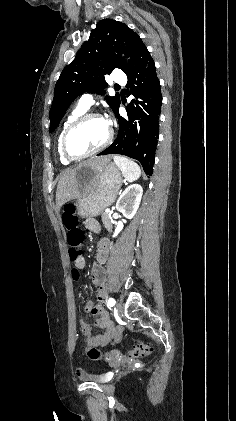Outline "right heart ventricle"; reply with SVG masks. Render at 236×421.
<instances>
[{
    "instance_id": "obj_1",
    "label": "right heart ventricle",
    "mask_w": 236,
    "mask_h": 421,
    "mask_svg": "<svg viewBox=\"0 0 236 421\" xmlns=\"http://www.w3.org/2000/svg\"><path fill=\"white\" fill-rule=\"evenodd\" d=\"M84 109L80 108L79 106H77L75 109H73L71 111V113L66 117V119L64 120L62 127L60 129V132L58 134V138H57V151H58V155H59V159L61 161V163L67 165L70 164L71 161H69L62 153V149H61V142H62V136L64 134L65 129L68 127V125L78 116H80L83 113Z\"/></svg>"
}]
</instances>
